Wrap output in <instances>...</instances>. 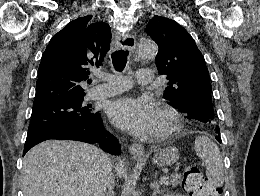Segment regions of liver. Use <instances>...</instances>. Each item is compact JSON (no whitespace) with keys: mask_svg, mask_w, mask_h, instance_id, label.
I'll use <instances>...</instances> for the list:
<instances>
[{"mask_svg":"<svg viewBox=\"0 0 260 196\" xmlns=\"http://www.w3.org/2000/svg\"><path fill=\"white\" fill-rule=\"evenodd\" d=\"M97 146L46 140L26 154L22 168L24 196H95L105 192L108 166ZM125 162L115 166L119 178H125Z\"/></svg>","mask_w":260,"mask_h":196,"instance_id":"liver-1","label":"liver"}]
</instances>
